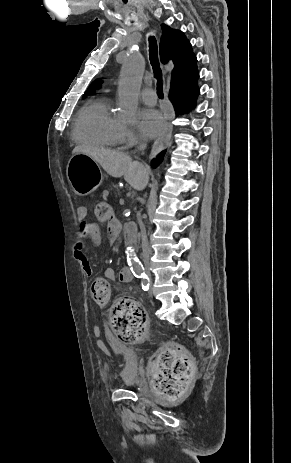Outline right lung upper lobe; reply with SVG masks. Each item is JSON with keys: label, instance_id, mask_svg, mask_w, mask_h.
Wrapping results in <instances>:
<instances>
[{"label": "right lung upper lobe", "instance_id": "1", "mask_svg": "<svg viewBox=\"0 0 291 463\" xmlns=\"http://www.w3.org/2000/svg\"><path fill=\"white\" fill-rule=\"evenodd\" d=\"M162 37L160 40V59L162 63L172 60L174 69L172 71L171 88L188 84L197 71V59L193 54L192 46L181 31L172 30L166 25H162ZM102 82L94 81L88 91L92 92L98 88Z\"/></svg>", "mask_w": 291, "mask_h": 463}]
</instances>
